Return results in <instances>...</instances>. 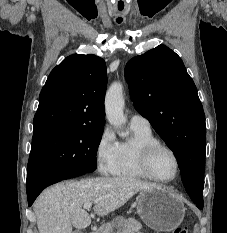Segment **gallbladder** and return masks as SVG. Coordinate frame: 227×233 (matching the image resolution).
Segmentation results:
<instances>
[{"mask_svg": "<svg viewBox=\"0 0 227 233\" xmlns=\"http://www.w3.org/2000/svg\"><path fill=\"white\" fill-rule=\"evenodd\" d=\"M74 233H83V232L80 230H76V231H74Z\"/></svg>", "mask_w": 227, "mask_h": 233, "instance_id": "1", "label": "gallbladder"}]
</instances>
